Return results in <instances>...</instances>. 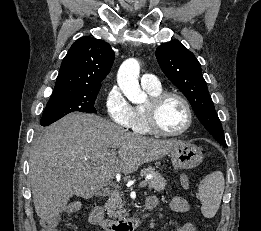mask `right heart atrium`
<instances>
[{
  "label": "right heart atrium",
  "instance_id": "d8ad5b80",
  "mask_svg": "<svg viewBox=\"0 0 261 231\" xmlns=\"http://www.w3.org/2000/svg\"><path fill=\"white\" fill-rule=\"evenodd\" d=\"M105 108L111 121L123 128H130L133 118V107L118 86H113L105 98Z\"/></svg>",
  "mask_w": 261,
  "mask_h": 231
}]
</instances>
